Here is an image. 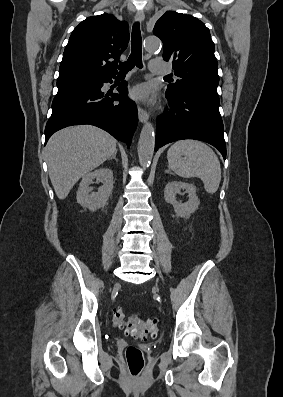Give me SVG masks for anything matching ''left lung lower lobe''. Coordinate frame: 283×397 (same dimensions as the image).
Masks as SVG:
<instances>
[{"label": "left lung lower lobe", "mask_w": 283, "mask_h": 397, "mask_svg": "<svg viewBox=\"0 0 283 397\" xmlns=\"http://www.w3.org/2000/svg\"><path fill=\"white\" fill-rule=\"evenodd\" d=\"M170 110L157 120L155 151L163 145L196 139L216 147L226 158L224 127L219 100L196 92L166 91Z\"/></svg>", "instance_id": "left-lung-lower-lobe-1"}]
</instances>
